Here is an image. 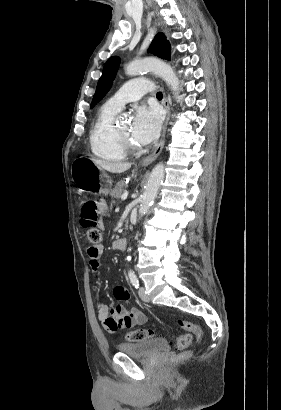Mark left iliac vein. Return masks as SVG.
Returning a JSON list of instances; mask_svg holds the SVG:
<instances>
[{"label":"left iliac vein","instance_id":"left-iliac-vein-1","mask_svg":"<svg viewBox=\"0 0 281 410\" xmlns=\"http://www.w3.org/2000/svg\"><path fill=\"white\" fill-rule=\"evenodd\" d=\"M139 296L144 302H149L150 301L148 295L145 293L144 287L139 288Z\"/></svg>","mask_w":281,"mask_h":410}]
</instances>
